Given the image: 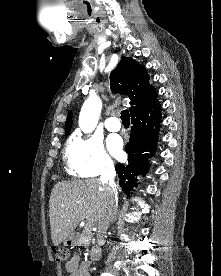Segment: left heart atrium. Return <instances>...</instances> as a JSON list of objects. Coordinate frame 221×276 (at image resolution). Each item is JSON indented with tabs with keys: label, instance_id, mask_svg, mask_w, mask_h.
Instances as JSON below:
<instances>
[{
	"label": "left heart atrium",
	"instance_id": "1",
	"mask_svg": "<svg viewBox=\"0 0 221 276\" xmlns=\"http://www.w3.org/2000/svg\"><path fill=\"white\" fill-rule=\"evenodd\" d=\"M108 146L110 151L115 155V156H120L122 153V141L119 137L117 136H112L108 140Z\"/></svg>",
	"mask_w": 221,
	"mask_h": 276
}]
</instances>
